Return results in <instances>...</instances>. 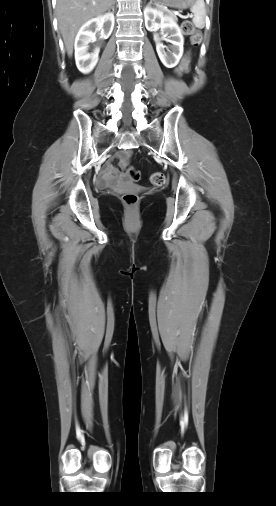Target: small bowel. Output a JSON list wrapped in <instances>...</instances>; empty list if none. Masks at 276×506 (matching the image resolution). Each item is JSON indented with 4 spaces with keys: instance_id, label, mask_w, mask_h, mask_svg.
Masks as SVG:
<instances>
[{
    "instance_id": "small-bowel-1",
    "label": "small bowel",
    "mask_w": 276,
    "mask_h": 506,
    "mask_svg": "<svg viewBox=\"0 0 276 506\" xmlns=\"http://www.w3.org/2000/svg\"><path fill=\"white\" fill-rule=\"evenodd\" d=\"M189 58L186 56L183 58L181 64L177 68L178 73L185 72L188 69ZM131 156L130 150H124L117 154L119 159V166L125 169L128 165V160ZM116 176V178H115ZM125 179L124 174H119L117 168L112 163H107L105 170L100 174L97 179V186L99 188L116 187L122 180Z\"/></svg>"
}]
</instances>
